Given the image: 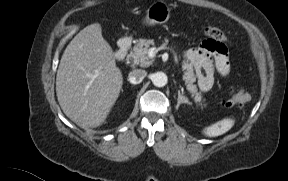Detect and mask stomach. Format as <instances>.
<instances>
[{"instance_id": "obj_1", "label": "stomach", "mask_w": 288, "mask_h": 181, "mask_svg": "<svg viewBox=\"0 0 288 181\" xmlns=\"http://www.w3.org/2000/svg\"><path fill=\"white\" fill-rule=\"evenodd\" d=\"M171 15V10L169 6L159 0L153 2L148 9L146 10V16L142 20V24L145 26H154L156 24H162L168 21ZM130 38H123L121 43L124 45L127 42H130Z\"/></svg>"}]
</instances>
